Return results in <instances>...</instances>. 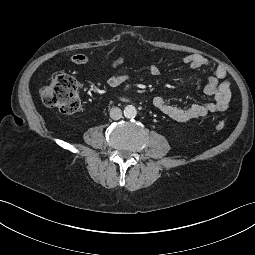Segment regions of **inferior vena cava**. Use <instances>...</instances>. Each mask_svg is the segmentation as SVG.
<instances>
[{
  "mask_svg": "<svg viewBox=\"0 0 255 255\" xmlns=\"http://www.w3.org/2000/svg\"><path fill=\"white\" fill-rule=\"evenodd\" d=\"M110 117L113 120H119L122 117V110L118 107H114L110 110Z\"/></svg>",
  "mask_w": 255,
  "mask_h": 255,
  "instance_id": "602c4592",
  "label": "inferior vena cava"
}]
</instances>
